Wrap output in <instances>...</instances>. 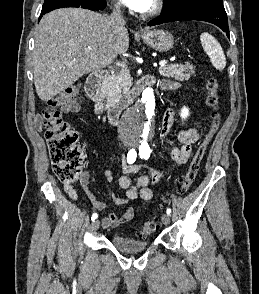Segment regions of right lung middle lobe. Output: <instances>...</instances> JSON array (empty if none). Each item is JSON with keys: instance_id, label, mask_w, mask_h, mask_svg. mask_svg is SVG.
<instances>
[{"instance_id": "right-lung-middle-lobe-1", "label": "right lung middle lobe", "mask_w": 259, "mask_h": 294, "mask_svg": "<svg viewBox=\"0 0 259 294\" xmlns=\"http://www.w3.org/2000/svg\"><path fill=\"white\" fill-rule=\"evenodd\" d=\"M95 2V0H45L44 4L42 6V11L46 12L55 5L61 4V3H71V4H77V5H86Z\"/></svg>"}]
</instances>
